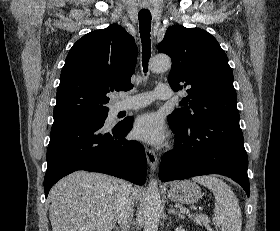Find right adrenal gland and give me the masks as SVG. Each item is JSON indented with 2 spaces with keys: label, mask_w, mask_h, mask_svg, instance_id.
<instances>
[{
  "label": "right adrenal gland",
  "mask_w": 280,
  "mask_h": 231,
  "mask_svg": "<svg viewBox=\"0 0 280 231\" xmlns=\"http://www.w3.org/2000/svg\"><path fill=\"white\" fill-rule=\"evenodd\" d=\"M114 229H117V231H119V227H116V225H115Z\"/></svg>",
  "instance_id": "2a0ac1e0"
}]
</instances>
